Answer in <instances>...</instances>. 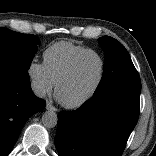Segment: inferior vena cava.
<instances>
[{
    "label": "inferior vena cava",
    "instance_id": "inferior-vena-cava-1",
    "mask_svg": "<svg viewBox=\"0 0 156 156\" xmlns=\"http://www.w3.org/2000/svg\"><path fill=\"white\" fill-rule=\"evenodd\" d=\"M31 87H32V91L34 92V94L37 97H39V98L45 97L46 89H45V86L43 84H41L40 82H37V81H32Z\"/></svg>",
    "mask_w": 156,
    "mask_h": 156
}]
</instances>
